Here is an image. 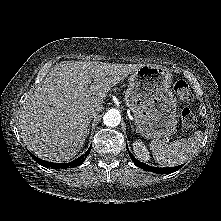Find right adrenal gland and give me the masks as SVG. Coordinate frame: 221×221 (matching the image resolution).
<instances>
[{
    "label": "right adrenal gland",
    "mask_w": 221,
    "mask_h": 221,
    "mask_svg": "<svg viewBox=\"0 0 221 221\" xmlns=\"http://www.w3.org/2000/svg\"><path fill=\"white\" fill-rule=\"evenodd\" d=\"M90 121H91V118L89 120L88 128H87V131H86V137H87V135H89V132H90Z\"/></svg>",
    "instance_id": "right-adrenal-gland-1"
}]
</instances>
